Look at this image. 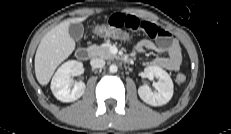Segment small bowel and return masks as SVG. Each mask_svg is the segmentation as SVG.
<instances>
[{
  "instance_id": "1",
  "label": "small bowel",
  "mask_w": 231,
  "mask_h": 134,
  "mask_svg": "<svg viewBox=\"0 0 231 134\" xmlns=\"http://www.w3.org/2000/svg\"><path fill=\"white\" fill-rule=\"evenodd\" d=\"M108 25L129 32H143L150 39H143L136 43L138 52H155L166 54L147 63L150 67H157L169 71H178L182 65V51L179 43L173 39L169 32L158 25L142 20L134 15L114 13L110 16Z\"/></svg>"
}]
</instances>
